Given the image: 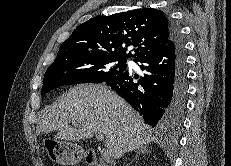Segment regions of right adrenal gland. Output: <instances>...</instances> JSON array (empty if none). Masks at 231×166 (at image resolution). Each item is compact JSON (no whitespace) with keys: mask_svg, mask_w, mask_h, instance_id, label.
<instances>
[{"mask_svg":"<svg viewBox=\"0 0 231 166\" xmlns=\"http://www.w3.org/2000/svg\"><path fill=\"white\" fill-rule=\"evenodd\" d=\"M150 152H151V151L148 149V146H147V145L141 147L140 149H138L137 154H136V156H135V159H133V161L136 160V159L139 157V155H140L141 153H142V154H145V153H150ZM131 164H132V162H131ZM127 166H130V164H128Z\"/></svg>","mask_w":231,"mask_h":166,"instance_id":"right-adrenal-gland-1","label":"right adrenal gland"}]
</instances>
